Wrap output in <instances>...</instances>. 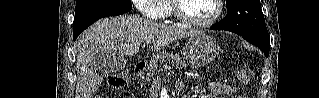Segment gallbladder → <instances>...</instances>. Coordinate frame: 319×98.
Listing matches in <instances>:
<instances>
[{
  "instance_id": "bac80fb5",
  "label": "gallbladder",
  "mask_w": 319,
  "mask_h": 98,
  "mask_svg": "<svg viewBox=\"0 0 319 98\" xmlns=\"http://www.w3.org/2000/svg\"><path fill=\"white\" fill-rule=\"evenodd\" d=\"M96 65L99 72L108 74L122 70L126 65V60L121 54L104 53L97 56Z\"/></svg>"
}]
</instances>
